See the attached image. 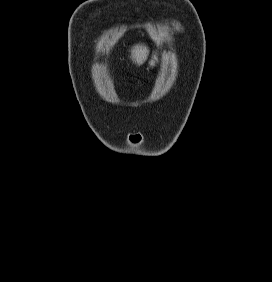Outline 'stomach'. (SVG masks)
I'll return each mask as SVG.
<instances>
[{
    "label": "stomach",
    "instance_id": "stomach-1",
    "mask_svg": "<svg viewBox=\"0 0 272 282\" xmlns=\"http://www.w3.org/2000/svg\"><path fill=\"white\" fill-rule=\"evenodd\" d=\"M159 51L155 50L149 62V67L154 68L158 63Z\"/></svg>",
    "mask_w": 272,
    "mask_h": 282
}]
</instances>
